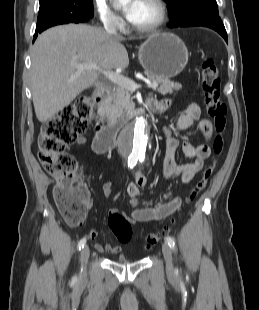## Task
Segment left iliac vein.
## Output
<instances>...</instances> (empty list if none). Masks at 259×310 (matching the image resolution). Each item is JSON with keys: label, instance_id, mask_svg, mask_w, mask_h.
Wrapping results in <instances>:
<instances>
[{"label": "left iliac vein", "instance_id": "4c4485c4", "mask_svg": "<svg viewBox=\"0 0 259 310\" xmlns=\"http://www.w3.org/2000/svg\"><path fill=\"white\" fill-rule=\"evenodd\" d=\"M162 252L165 258V263H166V271L168 274L173 273V258H172V251L170 246L165 242L162 245Z\"/></svg>", "mask_w": 259, "mask_h": 310}]
</instances>
